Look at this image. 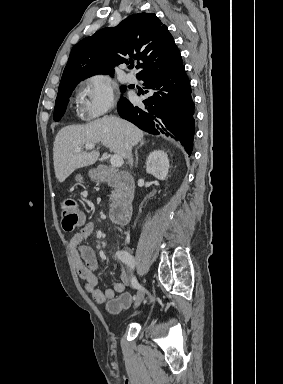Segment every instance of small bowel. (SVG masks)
<instances>
[{
	"label": "small bowel",
	"instance_id": "c3829d8e",
	"mask_svg": "<svg viewBox=\"0 0 283 384\" xmlns=\"http://www.w3.org/2000/svg\"><path fill=\"white\" fill-rule=\"evenodd\" d=\"M94 229L95 225L93 223L84 224L71 238L70 251L76 271L83 280L86 291L96 303L108 304L114 300L117 294L125 291L126 287L130 284L131 277L130 272L122 266L119 281L114 282L110 288L100 289L98 287V280L94 274L98 264L97 257L94 250L84 244L92 235Z\"/></svg>",
	"mask_w": 283,
	"mask_h": 384
}]
</instances>
